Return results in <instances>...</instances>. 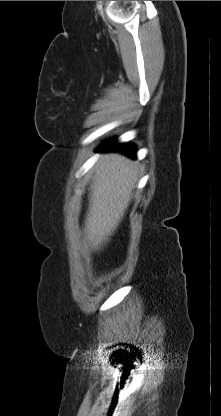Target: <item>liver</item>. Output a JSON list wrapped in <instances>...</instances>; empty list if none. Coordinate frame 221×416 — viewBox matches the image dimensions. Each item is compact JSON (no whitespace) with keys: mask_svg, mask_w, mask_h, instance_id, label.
<instances>
[{"mask_svg":"<svg viewBox=\"0 0 221 416\" xmlns=\"http://www.w3.org/2000/svg\"><path fill=\"white\" fill-rule=\"evenodd\" d=\"M137 180L135 166L121 154H107L99 162L89 196L84 235L97 250L119 225Z\"/></svg>","mask_w":221,"mask_h":416,"instance_id":"1","label":"liver"}]
</instances>
